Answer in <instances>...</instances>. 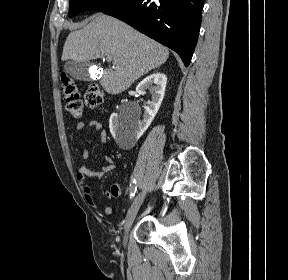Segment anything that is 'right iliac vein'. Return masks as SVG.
Masks as SVG:
<instances>
[{"instance_id":"1","label":"right iliac vein","mask_w":288,"mask_h":280,"mask_svg":"<svg viewBox=\"0 0 288 280\" xmlns=\"http://www.w3.org/2000/svg\"><path fill=\"white\" fill-rule=\"evenodd\" d=\"M146 196V191H141L135 197L130 209L128 210L125 223H124V235H123V243L126 244L127 241V233L134 222V219L139 211L140 206L142 205Z\"/></svg>"}]
</instances>
